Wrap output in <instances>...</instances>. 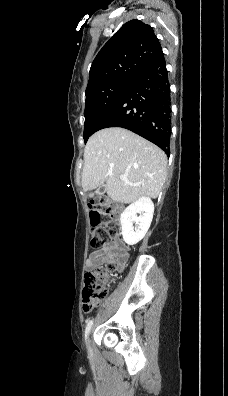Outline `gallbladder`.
<instances>
[{
	"label": "gallbladder",
	"instance_id": "gallbladder-1",
	"mask_svg": "<svg viewBox=\"0 0 228 396\" xmlns=\"http://www.w3.org/2000/svg\"><path fill=\"white\" fill-rule=\"evenodd\" d=\"M102 190H103V185H100V186L97 188L96 192H97V193H101Z\"/></svg>",
	"mask_w": 228,
	"mask_h": 396
}]
</instances>
